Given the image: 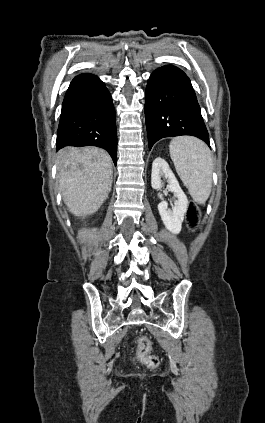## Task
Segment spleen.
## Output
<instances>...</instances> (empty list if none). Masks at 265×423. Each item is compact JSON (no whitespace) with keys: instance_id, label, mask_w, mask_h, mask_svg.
Segmentation results:
<instances>
[{"instance_id":"3e777b00","label":"spleen","mask_w":265,"mask_h":423,"mask_svg":"<svg viewBox=\"0 0 265 423\" xmlns=\"http://www.w3.org/2000/svg\"><path fill=\"white\" fill-rule=\"evenodd\" d=\"M177 174L198 204H205L212 188V157L209 148L194 137H176L169 145Z\"/></svg>"}]
</instances>
